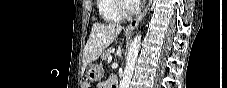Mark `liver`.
<instances>
[{"mask_svg": "<svg viewBox=\"0 0 227 88\" xmlns=\"http://www.w3.org/2000/svg\"><path fill=\"white\" fill-rule=\"evenodd\" d=\"M121 30L122 27L115 23L93 24L89 39L84 48L83 64L86 66L98 59L103 51L115 40Z\"/></svg>", "mask_w": 227, "mask_h": 88, "instance_id": "obj_1", "label": "liver"}]
</instances>
